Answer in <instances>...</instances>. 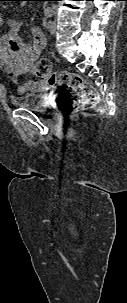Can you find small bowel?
Wrapping results in <instances>:
<instances>
[{
	"mask_svg": "<svg viewBox=\"0 0 127 303\" xmlns=\"http://www.w3.org/2000/svg\"><path fill=\"white\" fill-rule=\"evenodd\" d=\"M3 25H6L8 30L0 34V71L14 83H17L18 78L24 74L37 75L35 62L46 45V37L42 29L34 26L31 30L32 42L27 43L19 36L22 27L21 20H5L0 14V28ZM46 88L47 80L43 77L37 80H26L17 85L19 93L37 92Z\"/></svg>",
	"mask_w": 127,
	"mask_h": 303,
	"instance_id": "small-bowel-1",
	"label": "small bowel"
}]
</instances>
